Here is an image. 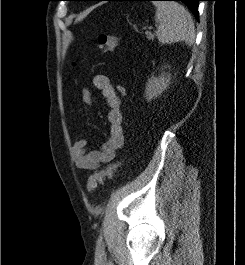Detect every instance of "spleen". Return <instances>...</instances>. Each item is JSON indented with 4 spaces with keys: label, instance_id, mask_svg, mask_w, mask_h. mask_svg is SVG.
Wrapping results in <instances>:
<instances>
[{
    "label": "spleen",
    "instance_id": "3e777b00",
    "mask_svg": "<svg viewBox=\"0 0 245 265\" xmlns=\"http://www.w3.org/2000/svg\"><path fill=\"white\" fill-rule=\"evenodd\" d=\"M156 7V36L162 44L179 41L191 45L195 39V26L190 13L174 1H154Z\"/></svg>",
    "mask_w": 245,
    "mask_h": 265
}]
</instances>
